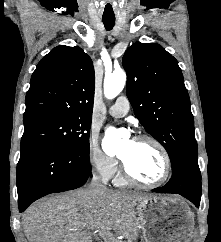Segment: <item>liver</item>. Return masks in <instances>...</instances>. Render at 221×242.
Listing matches in <instances>:
<instances>
[{"label":"liver","mask_w":221,"mask_h":242,"mask_svg":"<svg viewBox=\"0 0 221 242\" xmlns=\"http://www.w3.org/2000/svg\"><path fill=\"white\" fill-rule=\"evenodd\" d=\"M149 197L128 191L79 189L43 198L22 216L29 242H92L90 229L118 230L138 236L137 202Z\"/></svg>","instance_id":"6515ba94"}]
</instances>
